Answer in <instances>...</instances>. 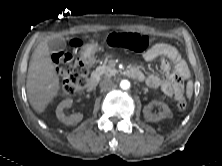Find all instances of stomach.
I'll return each instance as SVG.
<instances>
[{
    "label": "stomach",
    "mask_w": 222,
    "mask_h": 166,
    "mask_svg": "<svg viewBox=\"0 0 222 166\" xmlns=\"http://www.w3.org/2000/svg\"><path fill=\"white\" fill-rule=\"evenodd\" d=\"M98 50H99L98 44H96V43L88 44L84 49V56L90 57V56L94 55V53Z\"/></svg>",
    "instance_id": "stomach-1"
}]
</instances>
